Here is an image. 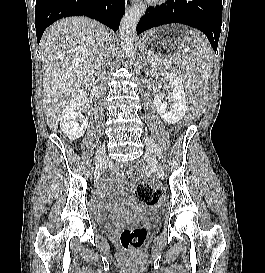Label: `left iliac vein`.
<instances>
[{
	"label": "left iliac vein",
	"mask_w": 265,
	"mask_h": 273,
	"mask_svg": "<svg viewBox=\"0 0 265 273\" xmlns=\"http://www.w3.org/2000/svg\"><path fill=\"white\" fill-rule=\"evenodd\" d=\"M144 142H145V144L148 146V148L150 150H152V148H155V149L157 148L158 149L156 143L150 137H145L144 138ZM145 159H146L147 163L149 164L151 170L159 178L164 179L165 178V174H164V171H163L162 167L160 166V164L158 163V161L149 152H146Z\"/></svg>",
	"instance_id": "left-iliac-vein-1"
}]
</instances>
